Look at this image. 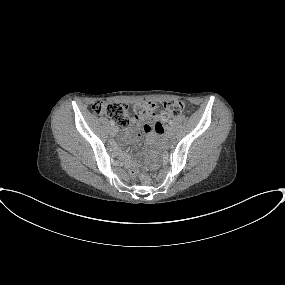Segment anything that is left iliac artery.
Returning <instances> with one entry per match:
<instances>
[{"mask_svg":"<svg viewBox=\"0 0 285 285\" xmlns=\"http://www.w3.org/2000/svg\"><path fill=\"white\" fill-rule=\"evenodd\" d=\"M172 124H173V121H172V120H170V121H169V125H172Z\"/></svg>","mask_w":285,"mask_h":285,"instance_id":"1","label":"left iliac artery"}]
</instances>
